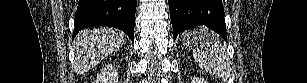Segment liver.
I'll return each mask as SVG.
<instances>
[{
    "label": "liver",
    "mask_w": 307,
    "mask_h": 83,
    "mask_svg": "<svg viewBox=\"0 0 307 83\" xmlns=\"http://www.w3.org/2000/svg\"><path fill=\"white\" fill-rule=\"evenodd\" d=\"M125 43V34L112 28H94L80 32L74 42V71L84 74Z\"/></svg>",
    "instance_id": "liver-1"
}]
</instances>
